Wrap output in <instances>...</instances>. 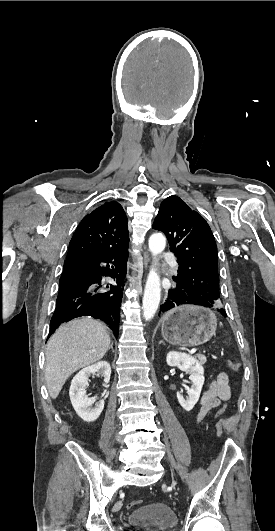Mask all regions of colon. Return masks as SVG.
I'll return each mask as SVG.
<instances>
[{"label":"colon","instance_id":"obj_1","mask_svg":"<svg viewBox=\"0 0 275 531\" xmlns=\"http://www.w3.org/2000/svg\"><path fill=\"white\" fill-rule=\"evenodd\" d=\"M228 367L233 371H239L240 370V364L239 362L235 360H229L228 361ZM227 412V404L225 402H222L217 409L214 412L213 418L216 421L221 420V418L224 417L225 413ZM141 503L140 499L132 500L128 503L129 507L139 505Z\"/></svg>","mask_w":275,"mask_h":531}]
</instances>
